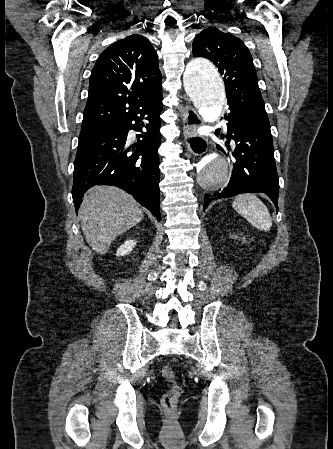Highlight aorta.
Here are the masks:
<instances>
[{
	"label": "aorta",
	"instance_id": "1",
	"mask_svg": "<svg viewBox=\"0 0 333 449\" xmlns=\"http://www.w3.org/2000/svg\"><path fill=\"white\" fill-rule=\"evenodd\" d=\"M183 85L203 117H217L226 102L225 89L216 67L207 59L195 57L186 65ZM229 160L215 152L203 156L193 167L194 185L206 192L219 191L229 176Z\"/></svg>",
	"mask_w": 333,
	"mask_h": 449
}]
</instances>
